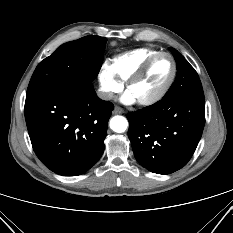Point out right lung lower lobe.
Segmentation results:
<instances>
[{
	"mask_svg": "<svg viewBox=\"0 0 233 233\" xmlns=\"http://www.w3.org/2000/svg\"><path fill=\"white\" fill-rule=\"evenodd\" d=\"M113 108L97 97L92 82L26 100L24 113L34 152L56 174L85 173L104 151Z\"/></svg>",
	"mask_w": 233,
	"mask_h": 233,
	"instance_id": "right-lung-lower-lobe-1",
	"label": "right lung lower lobe"
}]
</instances>
